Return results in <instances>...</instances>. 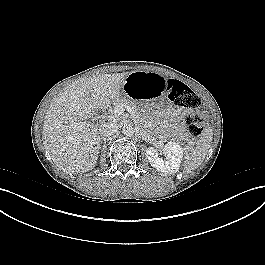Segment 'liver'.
<instances>
[{"instance_id": "1", "label": "liver", "mask_w": 265, "mask_h": 265, "mask_svg": "<svg viewBox=\"0 0 265 265\" xmlns=\"http://www.w3.org/2000/svg\"><path fill=\"white\" fill-rule=\"evenodd\" d=\"M129 73L102 74L66 86L46 113L42 138L53 162L69 174L91 170L99 154V129L86 122L120 94ZM79 123L75 126L74 123Z\"/></svg>"}]
</instances>
